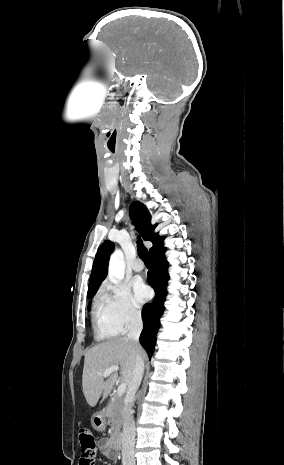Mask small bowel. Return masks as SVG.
I'll return each mask as SVG.
<instances>
[{
	"instance_id": "1",
	"label": "small bowel",
	"mask_w": 284,
	"mask_h": 465,
	"mask_svg": "<svg viewBox=\"0 0 284 465\" xmlns=\"http://www.w3.org/2000/svg\"><path fill=\"white\" fill-rule=\"evenodd\" d=\"M97 445L101 453L110 460L118 458V451L111 445V441L108 438L99 439Z\"/></svg>"
}]
</instances>
